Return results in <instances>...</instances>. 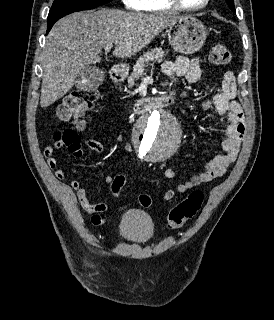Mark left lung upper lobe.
<instances>
[{"instance_id": "obj_1", "label": "left lung upper lobe", "mask_w": 274, "mask_h": 320, "mask_svg": "<svg viewBox=\"0 0 274 320\" xmlns=\"http://www.w3.org/2000/svg\"><path fill=\"white\" fill-rule=\"evenodd\" d=\"M228 3L229 8L235 12V7H234V0H225Z\"/></svg>"}]
</instances>
